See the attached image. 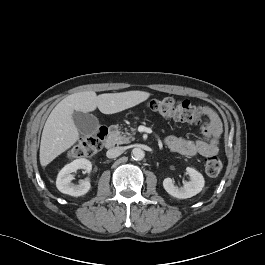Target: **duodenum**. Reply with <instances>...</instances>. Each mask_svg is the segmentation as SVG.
Masks as SVG:
<instances>
[{
  "label": "duodenum",
  "instance_id": "1",
  "mask_svg": "<svg viewBox=\"0 0 265 265\" xmlns=\"http://www.w3.org/2000/svg\"><path fill=\"white\" fill-rule=\"evenodd\" d=\"M115 143H116V139H115V136L113 134H110L105 142H104V146L105 148L107 149H112L114 146H115Z\"/></svg>",
  "mask_w": 265,
  "mask_h": 265
}]
</instances>
